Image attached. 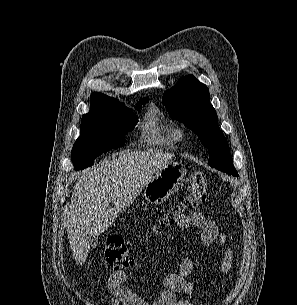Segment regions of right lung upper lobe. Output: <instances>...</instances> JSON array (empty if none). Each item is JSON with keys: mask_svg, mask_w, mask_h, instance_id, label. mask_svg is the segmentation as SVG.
<instances>
[{"mask_svg": "<svg viewBox=\"0 0 297 305\" xmlns=\"http://www.w3.org/2000/svg\"><path fill=\"white\" fill-rule=\"evenodd\" d=\"M143 100H147V99L145 98L140 99V101ZM90 101H91L90 110H106L121 104L116 99L99 92L92 93Z\"/></svg>", "mask_w": 297, "mask_h": 305, "instance_id": "cb5924a9", "label": "right lung upper lobe"}]
</instances>
